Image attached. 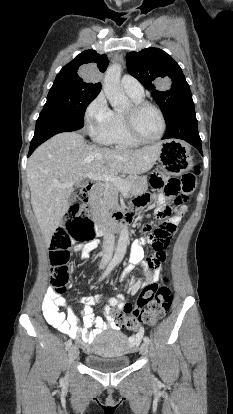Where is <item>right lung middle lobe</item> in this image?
<instances>
[{"label":"right lung middle lobe","instance_id":"dd1d6c3e","mask_svg":"<svg viewBox=\"0 0 233 414\" xmlns=\"http://www.w3.org/2000/svg\"><path fill=\"white\" fill-rule=\"evenodd\" d=\"M100 91L55 80L49 91L44 109H53L84 120L87 106L97 97Z\"/></svg>","mask_w":233,"mask_h":414}]
</instances>
